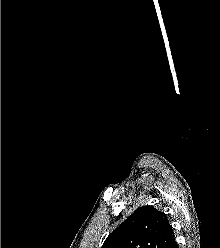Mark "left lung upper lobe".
<instances>
[{"label": "left lung upper lobe", "instance_id": "obj_1", "mask_svg": "<svg viewBox=\"0 0 220 248\" xmlns=\"http://www.w3.org/2000/svg\"><path fill=\"white\" fill-rule=\"evenodd\" d=\"M173 240L166 215L147 205L110 233L101 248H167Z\"/></svg>", "mask_w": 220, "mask_h": 248}]
</instances>
